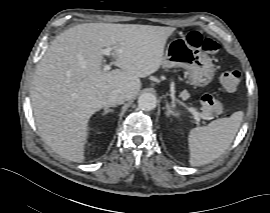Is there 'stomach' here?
<instances>
[{
  "mask_svg": "<svg viewBox=\"0 0 270 213\" xmlns=\"http://www.w3.org/2000/svg\"><path fill=\"white\" fill-rule=\"evenodd\" d=\"M162 65L182 67L189 73V82L195 87H205L214 78L211 59L199 49L188 44L184 37L173 39L166 48Z\"/></svg>",
  "mask_w": 270,
  "mask_h": 213,
  "instance_id": "0dacf381",
  "label": "stomach"
}]
</instances>
